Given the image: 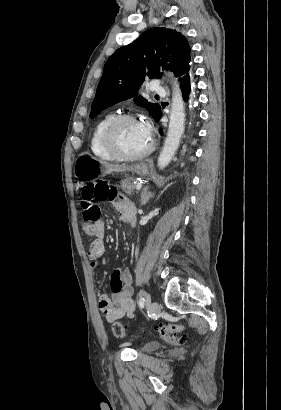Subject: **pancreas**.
Wrapping results in <instances>:
<instances>
[{
	"label": "pancreas",
	"mask_w": 281,
	"mask_h": 410,
	"mask_svg": "<svg viewBox=\"0 0 281 410\" xmlns=\"http://www.w3.org/2000/svg\"><path fill=\"white\" fill-rule=\"evenodd\" d=\"M136 185L137 182L133 178H127L121 181V187L123 191L128 195L135 193Z\"/></svg>",
	"instance_id": "cf45deb5"
}]
</instances>
